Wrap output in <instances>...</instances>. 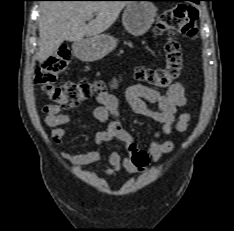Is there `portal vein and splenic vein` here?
<instances>
[{
  "instance_id": "18ae733b",
  "label": "portal vein and splenic vein",
  "mask_w": 234,
  "mask_h": 231,
  "mask_svg": "<svg viewBox=\"0 0 234 231\" xmlns=\"http://www.w3.org/2000/svg\"><path fill=\"white\" fill-rule=\"evenodd\" d=\"M93 18V15L89 16L88 19H92Z\"/></svg>"
}]
</instances>
